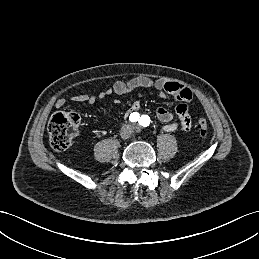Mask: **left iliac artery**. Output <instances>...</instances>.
Wrapping results in <instances>:
<instances>
[{
  "label": "left iliac artery",
  "mask_w": 259,
  "mask_h": 259,
  "mask_svg": "<svg viewBox=\"0 0 259 259\" xmlns=\"http://www.w3.org/2000/svg\"><path fill=\"white\" fill-rule=\"evenodd\" d=\"M139 124L143 127H147L150 124V118L148 115H142L139 120Z\"/></svg>",
  "instance_id": "left-iliac-artery-1"
}]
</instances>
